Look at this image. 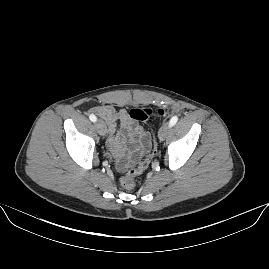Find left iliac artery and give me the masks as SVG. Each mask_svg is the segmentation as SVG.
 <instances>
[{
	"instance_id": "1",
	"label": "left iliac artery",
	"mask_w": 269,
	"mask_h": 269,
	"mask_svg": "<svg viewBox=\"0 0 269 269\" xmlns=\"http://www.w3.org/2000/svg\"><path fill=\"white\" fill-rule=\"evenodd\" d=\"M178 121V117L177 116H173L169 122V126L172 127L174 126Z\"/></svg>"
}]
</instances>
